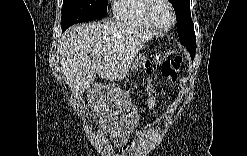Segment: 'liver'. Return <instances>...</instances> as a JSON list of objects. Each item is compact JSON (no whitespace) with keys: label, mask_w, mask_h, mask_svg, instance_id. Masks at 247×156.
<instances>
[{"label":"liver","mask_w":247,"mask_h":156,"mask_svg":"<svg viewBox=\"0 0 247 156\" xmlns=\"http://www.w3.org/2000/svg\"><path fill=\"white\" fill-rule=\"evenodd\" d=\"M156 31L120 22L74 25L59 41L60 64L73 91L89 87L96 75L109 81L126 77L141 47Z\"/></svg>","instance_id":"obj_1"}]
</instances>
